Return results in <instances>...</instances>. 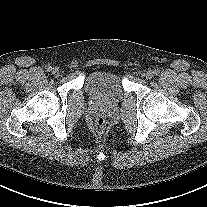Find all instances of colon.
I'll use <instances>...</instances> for the list:
<instances>
[{"label": "colon", "instance_id": "5ec220e1", "mask_svg": "<svg viewBox=\"0 0 207 207\" xmlns=\"http://www.w3.org/2000/svg\"><path fill=\"white\" fill-rule=\"evenodd\" d=\"M106 126V121L104 118H98L96 120V127L99 129V130H102L104 129V127Z\"/></svg>", "mask_w": 207, "mask_h": 207}]
</instances>
